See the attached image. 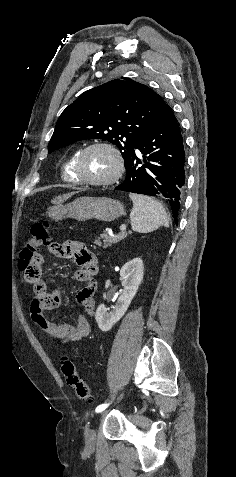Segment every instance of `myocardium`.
<instances>
[{
	"mask_svg": "<svg viewBox=\"0 0 236 477\" xmlns=\"http://www.w3.org/2000/svg\"><path fill=\"white\" fill-rule=\"evenodd\" d=\"M95 148H101L107 151L112 156L114 160V164H115V169L113 173L109 177L100 179V180H90V179L84 178L80 171V165H81V161L83 157L88 151ZM73 169L79 184H86V185H91L96 187H105L115 183L122 176L123 170H124V160L119 150L115 148L113 145L106 142H93L85 146L82 150L79 151L74 161Z\"/></svg>",
	"mask_w": 236,
	"mask_h": 477,
	"instance_id": "obj_1",
	"label": "myocardium"
}]
</instances>
